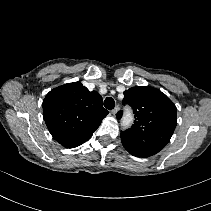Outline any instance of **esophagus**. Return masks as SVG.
I'll list each match as a JSON object with an SVG mask.
<instances>
[{
    "label": "esophagus",
    "mask_w": 211,
    "mask_h": 211,
    "mask_svg": "<svg viewBox=\"0 0 211 211\" xmlns=\"http://www.w3.org/2000/svg\"><path fill=\"white\" fill-rule=\"evenodd\" d=\"M117 112H118V107H115V108L111 111V113H112L114 116L117 114Z\"/></svg>",
    "instance_id": "34e87169"
}]
</instances>
